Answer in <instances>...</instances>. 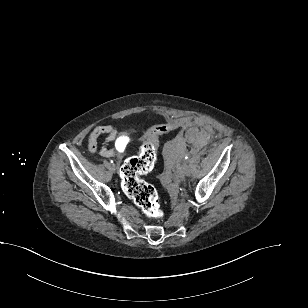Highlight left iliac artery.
<instances>
[{"mask_svg":"<svg viewBox=\"0 0 308 308\" xmlns=\"http://www.w3.org/2000/svg\"><path fill=\"white\" fill-rule=\"evenodd\" d=\"M188 158H189V155H188V154H186L185 159L187 160Z\"/></svg>","mask_w":308,"mask_h":308,"instance_id":"left-iliac-artery-1","label":"left iliac artery"}]
</instances>
